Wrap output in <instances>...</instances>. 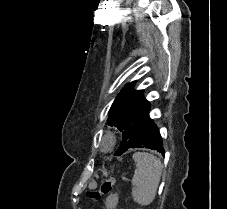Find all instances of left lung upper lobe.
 I'll return each instance as SVG.
<instances>
[{"mask_svg":"<svg viewBox=\"0 0 227 209\" xmlns=\"http://www.w3.org/2000/svg\"><path fill=\"white\" fill-rule=\"evenodd\" d=\"M135 81L127 84L116 97L110 108L107 124L117 127L123 133V141L115 156L126 152L132 144L139 124L150 109L142 90L133 91Z\"/></svg>","mask_w":227,"mask_h":209,"instance_id":"5c2ea615","label":"left lung upper lobe"}]
</instances>
